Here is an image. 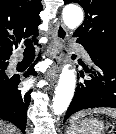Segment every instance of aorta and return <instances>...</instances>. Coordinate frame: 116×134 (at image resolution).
Returning <instances> with one entry per match:
<instances>
[{
  "instance_id": "obj_1",
  "label": "aorta",
  "mask_w": 116,
  "mask_h": 134,
  "mask_svg": "<svg viewBox=\"0 0 116 134\" xmlns=\"http://www.w3.org/2000/svg\"><path fill=\"white\" fill-rule=\"evenodd\" d=\"M64 24L71 30L76 29L83 21V11L80 7L70 4L62 12ZM65 65L60 74L58 86L53 97L52 111L55 115L63 114L74 95L76 85V74L74 69Z\"/></svg>"
}]
</instances>
